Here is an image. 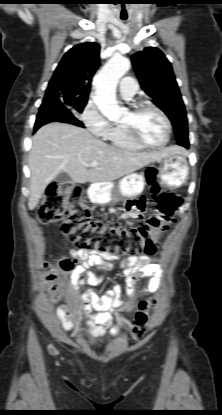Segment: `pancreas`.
I'll list each match as a JSON object with an SVG mask.
<instances>
[{
  "label": "pancreas",
  "mask_w": 222,
  "mask_h": 415,
  "mask_svg": "<svg viewBox=\"0 0 222 415\" xmlns=\"http://www.w3.org/2000/svg\"><path fill=\"white\" fill-rule=\"evenodd\" d=\"M116 202H117V199H113L112 205H114V203H116Z\"/></svg>",
  "instance_id": "1"
}]
</instances>
